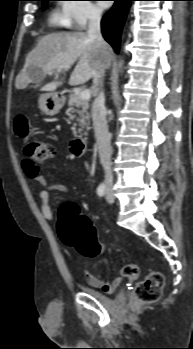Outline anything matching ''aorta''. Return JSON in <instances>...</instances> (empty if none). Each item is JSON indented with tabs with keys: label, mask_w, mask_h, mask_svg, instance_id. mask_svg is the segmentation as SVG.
Instances as JSON below:
<instances>
[{
	"label": "aorta",
	"mask_w": 193,
	"mask_h": 349,
	"mask_svg": "<svg viewBox=\"0 0 193 349\" xmlns=\"http://www.w3.org/2000/svg\"><path fill=\"white\" fill-rule=\"evenodd\" d=\"M122 66H123V60H120V61L118 62V68L121 69Z\"/></svg>",
	"instance_id": "obj_1"
}]
</instances>
